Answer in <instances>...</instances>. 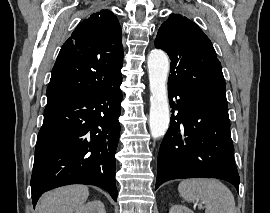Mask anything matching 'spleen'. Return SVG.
Wrapping results in <instances>:
<instances>
[{
  "label": "spleen",
  "mask_w": 270,
  "mask_h": 213,
  "mask_svg": "<svg viewBox=\"0 0 270 213\" xmlns=\"http://www.w3.org/2000/svg\"><path fill=\"white\" fill-rule=\"evenodd\" d=\"M178 191L187 202L202 201L205 213H235L232 192L216 179H185L180 182Z\"/></svg>",
  "instance_id": "obj_1"
}]
</instances>
